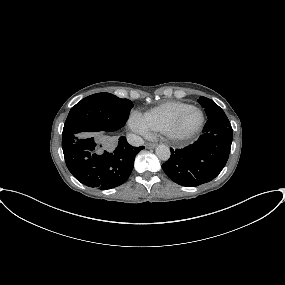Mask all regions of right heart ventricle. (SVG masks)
<instances>
[{"instance_id": "e07e8e85", "label": "right heart ventricle", "mask_w": 285, "mask_h": 285, "mask_svg": "<svg viewBox=\"0 0 285 285\" xmlns=\"http://www.w3.org/2000/svg\"><path fill=\"white\" fill-rule=\"evenodd\" d=\"M189 106L191 105L180 101L164 102L144 114L137 115V119L148 132L164 133L176 117Z\"/></svg>"}]
</instances>
